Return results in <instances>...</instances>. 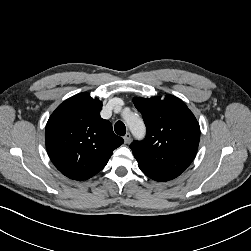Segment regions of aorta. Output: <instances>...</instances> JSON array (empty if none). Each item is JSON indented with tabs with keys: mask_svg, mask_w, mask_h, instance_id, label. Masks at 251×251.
Segmentation results:
<instances>
[{
	"mask_svg": "<svg viewBox=\"0 0 251 251\" xmlns=\"http://www.w3.org/2000/svg\"><path fill=\"white\" fill-rule=\"evenodd\" d=\"M125 120L133 134L141 135L144 132L143 121L137 115L128 114Z\"/></svg>",
	"mask_w": 251,
	"mask_h": 251,
	"instance_id": "aorta-1",
	"label": "aorta"
}]
</instances>
